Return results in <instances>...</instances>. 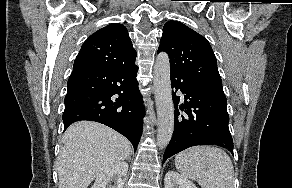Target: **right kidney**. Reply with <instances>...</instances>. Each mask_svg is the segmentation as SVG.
Masks as SVG:
<instances>
[{
  "label": "right kidney",
  "mask_w": 292,
  "mask_h": 188,
  "mask_svg": "<svg viewBox=\"0 0 292 188\" xmlns=\"http://www.w3.org/2000/svg\"><path fill=\"white\" fill-rule=\"evenodd\" d=\"M127 171L128 164L126 162L116 163L100 173L91 188H106L113 178L115 179V184L109 186V188H123Z\"/></svg>",
  "instance_id": "right-kidney-1"
}]
</instances>
